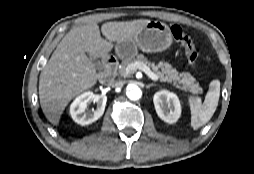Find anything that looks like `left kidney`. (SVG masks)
<instances>
[{"label": "left kidney", "mask_w": 254, "mask_h": 174, "mask_svg": "<svg viewBox=\"0 0 254 174\" xmlns=\"http://www.w3.org/2000/svg\"><path fill=\"white\" fill-rule=\"evenodd\" d=\"M153 102L157 115L169 124L177 122L181 115V105L176 94L161 90L154 94Z\"/></svg>", "instance_id": "5707ae66"}]
</instances>
